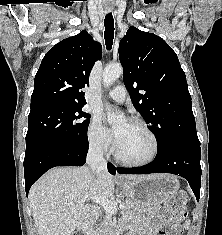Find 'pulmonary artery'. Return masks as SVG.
Returning a JSON list of instances; mask_svg holds the SVG:
<instances>
[{
	"label": "pulmonary artery",
	"instance_id": "e3ab8cb5",
	"mask_svg": "<svg viewBox=\"0 0 222 235\" xmlns=\"http://www.w3.org/2000/svg\"><path fill=\"white\" fill-rule=\"evenodd\" d=\"M108 97L115 102L124 103L127 98V91L124 86H116L109 91Z\"/></svg>",
	"mask_w": 222,
	"mask_h": 235
}]
</instances>
